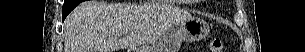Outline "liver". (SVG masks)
<instances>
[{"instance_id": "6515ba94", "label": "liver", "mask_w": 305, "mask_h": 52, "mask_svg": "<svg viewBox=\"0 0 305 52\" xmlns=\"http://www.w3.org/2000/svg\"><path fill=\"white\" fill-rule=\"evenodd\" d=\"M150 15L145 5L81 3L65 21L64 52H116L148 43L161 34Z\"/></svg>"}]
</instances>
